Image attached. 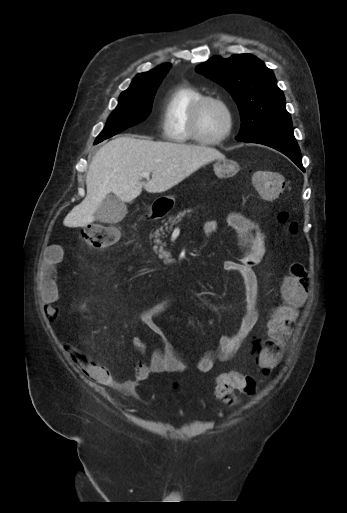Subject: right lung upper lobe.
I'll list each match as a JSON object with an SVG mask.
<instances>
[{"mask_svg": "<svg viewBox=\"0 0 347 513\" xmlns=\"http://www.w3.org/2000/svg\"><path fill=\"white\" fill-rule=\"evenodd\" d=\"M170 67H171V64H162L161 66H158L151 71L138 74L133 79L130 87L126 91L140 88L141 86L147 85L149 83L162 81V79L165 77V75L167 74Z\"/></svg>", "mask_w": 347, "mask_h": 513, "instance_id": "right-lung-upper-lobe-1", "label": "right lung upper lobe"}]
</instances>
